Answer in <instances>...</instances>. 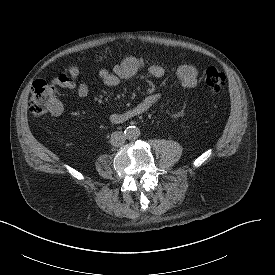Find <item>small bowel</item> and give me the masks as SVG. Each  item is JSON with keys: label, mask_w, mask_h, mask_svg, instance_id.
<instances>
[{"label": "small bowel", "mask_w": 275, "mask_h": 275, "mask_svg": "<svg viewBox=\"0 0 275 275\" xmlns=\"http://www.w3.org/2000/svg\"><path fill=\"white\" fill-rule=\"evenodd\" d=\"M143 60L137 56H128L121 62L115 64L112 69L102 68L99 71V79L101 83L107 87H115L122 79L133 77L143 67ZM148 72L151 76L157 79H162L166 76L164 67L159 64L148 65ZM177 77L184 88H193L198 82V71L190 64H182L177 68ZM53 83L60 88L68 89L76 93L83 99L90 92L89 85L81 80L80 70L78 67H70L66 73L60 74L54 78ZM160 96L156 92H151L145 95L137 104L130 109L114 113L110 119L114 123H121L147 112L154 106ZM53 115H58L62 111V107L57 105L52 110Z\"/></svg>", "instance_id": "1"}]
</instances>
